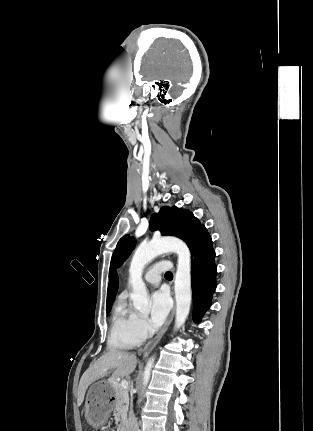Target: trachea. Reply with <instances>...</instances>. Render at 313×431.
Listing matches in <instances>:
<instances>
[{"label": "trachea", "instance_id": "3493384b", "mask_svg": "<svg viewBox=\"0 0 313 431\" xmlns=\"http://www.w3.org/2000/svg\"><path fill=\"white\" fill-rule=\"evenodd\" d=\"M173 274L171 272H166L165 273V278H172Z\"/></svg>", "mask_w": 313, "mask_h": 431}]
</instances>
